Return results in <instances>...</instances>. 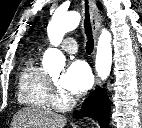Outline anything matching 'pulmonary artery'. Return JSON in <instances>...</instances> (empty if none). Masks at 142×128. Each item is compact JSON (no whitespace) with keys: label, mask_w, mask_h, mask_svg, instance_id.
Returning a JSON list of instances; mask_svg holds the SVG:
<instances>
[{"label":"pulmonary artery","mask_w":142,"mask_h":128,"mask_svg":"<svg viewBox=\"0 0 142 128\" xmlns=\"http://www.w3.org/2000/svg\"><path fill=\"white\" fill-rule=\"evenodd\" d=\"M61 48L69 54H75L78 50V45L74 38L68 37L62 42Z\"/></svg>","instance_id":"e3ab8cb5"}]
</instances>
